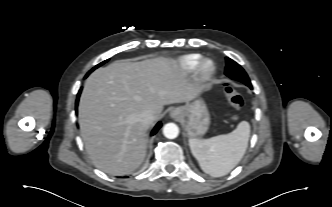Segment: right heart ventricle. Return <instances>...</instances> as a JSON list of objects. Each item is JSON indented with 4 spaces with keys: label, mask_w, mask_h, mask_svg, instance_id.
Listing matches in <instances>:
<instances>
[{
    "label": "right heart ventricle",
    "mask_w": 332,
    "mask_h": 207,
    "mask_svg": "<svg viewBox=\"0 0 332 207\" xmlns=\"http://www.w3.org/2000/svg\"><path fill=\"white\" fill-rule=\"evenodd\" d=\"M200 60H201L200 54H188L180 57L177 60V64L181 70L189 72L197 67Z\"/></svg>",
    "instance_id": "right-heart-ventricle-1"
}]
</instances>
